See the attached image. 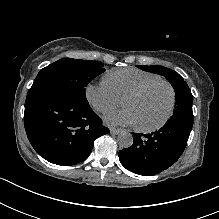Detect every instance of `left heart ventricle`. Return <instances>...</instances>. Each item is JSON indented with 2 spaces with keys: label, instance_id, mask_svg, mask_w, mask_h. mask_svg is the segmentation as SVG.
<instances>
[{
  "label": "left heart ventricle",
  "instance_id": "1",
  "mask_svg": "<svg viewBox=\"0 0 219 219\" xmlns=\"http://www.w3.org/2000/svg\"><path fill=\"white\" fill-rule=\"evenodd\" d=\"M170 98L168 86L157 84L134 98L124 100L123 106L134 112L138 126L151 127L159 124L165 117Z\"/></svg>",
  "mask_w": 219,
  "mask_h": 219
}]
</instances>
